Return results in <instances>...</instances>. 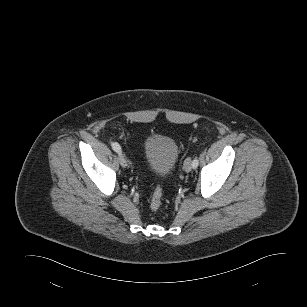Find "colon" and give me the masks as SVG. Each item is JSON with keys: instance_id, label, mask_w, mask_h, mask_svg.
Masks as SVG:
<instances>
[{"instance_id": "1", "label": "colon", "mask_w": 307, "mask_h": 307, "mask_svg": "<svg viewBox=\"0 0 307 307\" xmlns=\"http://www.w3.org/2000/svg\"><path fill=\"white\" fill-rule=\"evenodd\" d=\"M163 192L160 185H157L152 193L150 207L153 210H158L162 205Z\"/></svg>"}]
</instances>
